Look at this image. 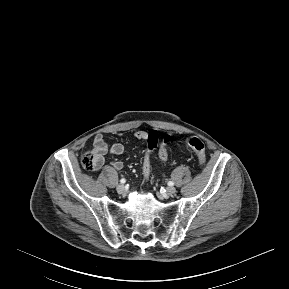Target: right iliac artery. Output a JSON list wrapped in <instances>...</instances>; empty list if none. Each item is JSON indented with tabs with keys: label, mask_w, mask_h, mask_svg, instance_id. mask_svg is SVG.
Listing matches in <instances>:
<instances>
[{
	"label": "right iliac artery",
	"mask_w": 289,
	"mask_h": 289,
	"mask_svg": "<svg viewBox=\"0 0 289 289\" xmlns=\"http://www.w3.org/2000/svg\"><path fill=\"white\" fill-rule=\"evenodd\" d=\"M126 182V180L124 179V178H122L121 180H120V183L121 184H124Z\"/></svg>",
	"instance_id": "1"
}]
</instances>
